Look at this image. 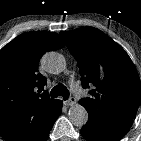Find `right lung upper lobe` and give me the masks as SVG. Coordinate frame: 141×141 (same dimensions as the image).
I'll return each mask as SVG.
<instances>
[{
    "label": "right lung upper lobe",
    "mask_w": 141,
    "mask_h": 141,
    "mask_svg": "<svg viewBox=\"0 0 141 141\" xmlns=\"http://www.w3.org/2000/svg\"><path fill=\"white\" fill-rule=\"evenodd\" d=\"M64 45L57 33L38 31L23 33L0 50L1 135L28 115L59 101L39 94L47 80L38 73V64L45 52Z\"/></svg>",
    "instance_id": "cb5924a9"
}]
</instances>
